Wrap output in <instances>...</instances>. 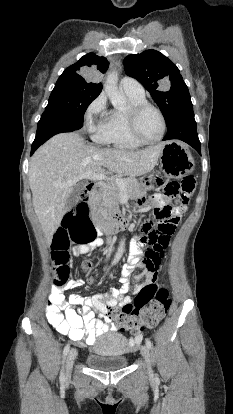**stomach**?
<instances>
[{"mask_svg": "<svg viewBox=\"0 0 233 414\" xmlns=\"http://www.w3.org/2000/svg\"><path fill=\"white\" fill-rule=\"evenodd\" d=\"M160 168L168 176L181 178L183 175L190 173L194 167V160L190 153L182 145L175 141L163 143V148L159 157ZM152 174L143 177V182L147 186L151 184ZM142 194V190L131 193V198H137Z\"/></svg>", "mask_w": 233, "mask_h": 414, "instance_id": "0dacf381", "label": "stomach"}]
</instances>
